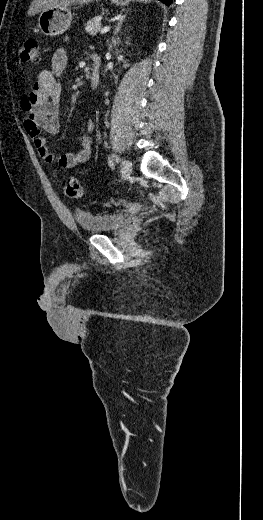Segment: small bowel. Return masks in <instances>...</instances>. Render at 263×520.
<instances>
[{"label": "small bowel", "instance_id": "c3829d8e", "mask_svg": "<svg viewBox=\"0 0 263 520\" xmlns=\"http://www.w3.org/2000/svg\"><path fill=\"white\" fill-rule=\"evenodd\" d=\"M68 63V53L64 48L57 49L51 59V68L41 70L37 81L29 93L21 100V107L26 114L24 129L33 141L40 157L47 163H56L62 168H73L87 162L93 154L91 133L95 124L86 122V133L80 138L81 148L77 153L55 155L48 146L46 138L41 134L46 132L56 134L60 128V98L62 94L58 77Z\"/></svg>", "mask_w": 263, "mask_h": 520}]
</instances>
